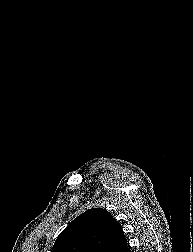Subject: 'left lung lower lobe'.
<instances>
[{"label": "left lung lower lobe", "instance_id": "1", "mask_svg": "<svg viewBox=\"0 0 193 252\" xmlns=\"http://www.w3.org/2000/svg\"><path fill=\"white\" fill-rule=\"evenodd\" d=\"M124 252H131V251H130L129 248L127 247L126 250H125Z\"/></svg>", "mask_w": 193, "mask_h": 252}]
</instances>
